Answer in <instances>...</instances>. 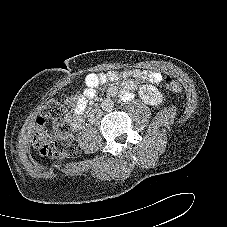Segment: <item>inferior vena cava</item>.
Wrapping results in <instances>:
<instances>
[{
	"label": "inferior vena cava",
	"instance_id": "1",
	"mask_svg": "<svg viewBox=\"0 0 227 227\" xmlns=\"http://www.w3.org/2000/svg\"><path fill=\"white\" fill-rule=\"evenodd\" d=\"M102 113L100 110L98 109H94L89 113V121L90 122H96L100 117H101Z\"/></svg>",
	"mask_w": 227,
	"mask_h": 227
}]
</instances>
